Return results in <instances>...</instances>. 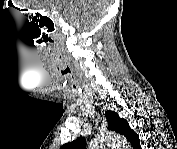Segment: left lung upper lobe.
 I'll return each instance as SVG.
<instances>
[{"instance_id": "5c2ea615", "label": "left lung upper lobe", "mask_w": 177, "mask_h": 149, "mask_svg": "<svg viewBox=\"0 0 177 149\" xmlns=\"http://www.w3.org/2000/svg\"><path fill=\"white\" fill-rule=\"evenodd\" d=\"M105 116L108 122V129L115 131L119 134L124 135L132 144L134 148H138L139 137L138 135L130 129L129 124L123 118H120L116 112L106 111ZM86 144V139L79 137L72 142H68L62 146L63 149H84Z\"/></svg>"}]
</instances>
